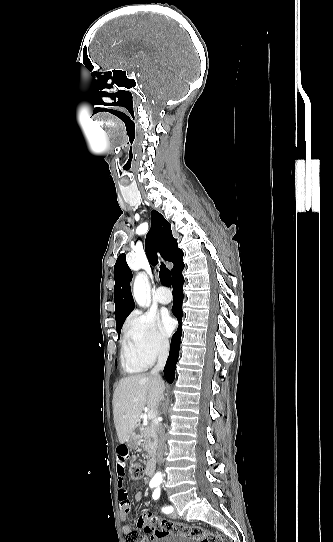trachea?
Here are the masks:
<instances>
[{"label": "trachea", "mask_w": 333, "mask_h": 542, "mask_svg": "<svg viewBox=\"0 0 333 542\" xmlns=\"http://www.w3.org/2000/svg\"><path fill=\"white\" fill-rule=\"evenodd\" d=\"M160 281L163 285H166L167 287H171V273L170 271L165 267V265L162 263L160 266Z\"/></svg>", "instance_id": "3493384b"}]
</instances>
